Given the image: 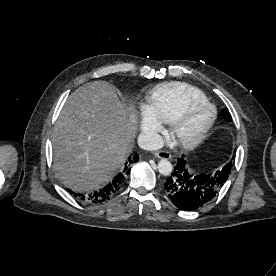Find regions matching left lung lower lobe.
<instances>
[{"label":"left lung lower lobe","mask_w":276,"mask_h":276,"mask_svg":"<svg viewBox=\"0 0 276 276\" xmlns=\"http://www.w3.org/2000/svg\"><path fill=\"white\" fill-rule=\"evenodd\" d=\"M177 161L163 189L174 205L183 210H194L211 201L231 172L229 166H224L213 174L197 173L190 169L183 157Z\"/></svg>","instance_id":"obj_1"}]
</instances>
